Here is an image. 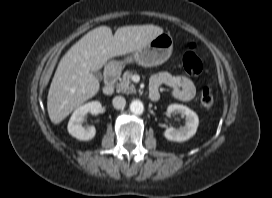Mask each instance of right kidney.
<instances>
[{
    "label": "right kidney",
    "mask_w": 272,
    "mask_h": 198,
    "mask_svg": "<svg viewBox=\"0 0 272 198\" xmlns=\"http://www.w3.org/2000/svg\"><path fill=\"white\" fill-rule=\"evenodd\" d=\"M102 110V104L99 101L88 102L78 107L72 114L68 122V132L78 140L88 141L94 138L96 129L94 126L84 127L83 122L88 113L96 115Z\"/></svg>",
    "instance_id": "obj_1"
}]
</instances>
